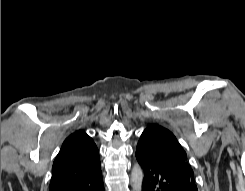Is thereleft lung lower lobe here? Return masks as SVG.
Instances as JSON below:
<instances>
[{
  "instance_id": "1",
  "label": "left lung lower lobe",
  "mask_w": 245,
  "mask_h": 191,
  "mask_svg": "<svg viewBox=\"0 0 245 191\" xmlns=\"http://www.w3.org/2000/svg\"><path fill=\"white\" fill-rule=\"evenodd\" d=\"M143 171L142 191H198L195 182L161 165L152 163L136 152Z\"/></svg>"
}]
</instances>
